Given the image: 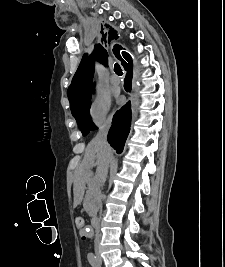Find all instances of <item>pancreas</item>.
I'll return each mask as SVG.
<instances>
[{
    "label": "pancreas",
    "instance_id": "obj_1",
    "mask_svg": "<svg viewBox=\"0 0 225 267\" xmlns=\"http://www.w3.org/2000/svg\"><path fill=\"white\" fill-rule=\"evenodd\" d=\"M96 188H97L96 184H94L93 182H89L88 190L86 192V196L84 199V208L88 212L89 215L92 214L91 201L93 197L95 196Z\"/></svg>",
    "mask_w": 225,
    "mask_h": 267
}]
</instances>
